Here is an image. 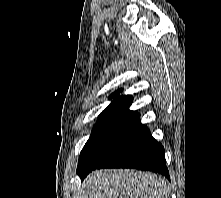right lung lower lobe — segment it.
<instances>
[{
	"instance_id": "right-lung-lower-lobe-1",
	"label": "right lung lower lobe",
	"mask_w": 221,
	"mask_h": 198,
	"mask_svg": "<svg viewBox=\"0 0 221 198\" xmlns=\"http://www.w3.org/2000/svg\"><path fill=\"white\" fill-rule=\"evenodd\" d=\"M101 168H133L147 170L163 174L169 178L164 148L150 135V131L145 126L141 128L135 137L95 169ZM90 172L80 176L81 180Z\"/></svg>"
}]
</instances>
